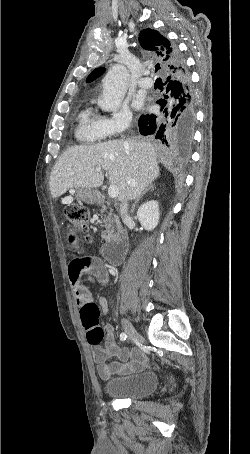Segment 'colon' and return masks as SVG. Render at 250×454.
I'll use <instances>...</instances> for the list:
<instances>
[{"label":"colon","mask_w":250,"mask_h":454,"mask_svg":"<svg viewBox=\"0 0 250 454\" xmlns=\"http://www.w3.org/2000/svg\"><path fill=\"white\" fill-rule=\"evenodd\" d=\"M65 214L69 222L68 232L75 237L71 245L79 248L81 241L78 234L88 231L89 211L82 205L70 203L65 207ZM85 240L90 241V237L86 235ZM80 317L88 342L92 345L99 344L103 340L104 331L99 326L100 310L98 306L94 303L83 305L80 308Z\"/></svg>","instance_id":"1"}]
</instances>
